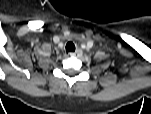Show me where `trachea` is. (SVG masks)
I'll use <instances>...</instances> for the list:
<instances>
[{"mask_svg": "<svg viewBox=\"0 0 151 114\" xmlns=\"http://www.w3.org/2000/svg\"><path fill=\"white\" fill-rule=\"evenodd\" d=\"M66 51L67 52H74L75 51V45L73 42H68L66 44Z\"/></svg>", "mask_w": 151, "mask_h": 114, "instance_id": "obj_1", "label": "trachea"}]
</instances>
